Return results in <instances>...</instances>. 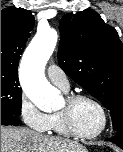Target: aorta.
Returning a JSON list of instances; mask_svg holds the SVG:
<instances>
[{"label": "aorta", "mask_w": 123, "mask_h": 152, "mask_svg": "<svg viewBox=\"0 0 123 152\" xmlns=\"http://www.w3.org/2000/svg\"><path fill=\"white\" fill-rule=\"evenodd\" d=\"M58 40L53 28L38 30L26 48L20 66L21 86L26 96L44 112L56 109L60 104L58 91L46 80L44 68Z\"/></svg>", "instance_id": "1"}]
</instances>
